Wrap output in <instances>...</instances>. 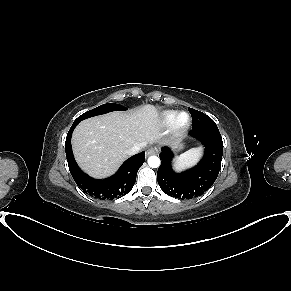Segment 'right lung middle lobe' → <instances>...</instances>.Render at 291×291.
<instances>
[{
	"instance_id": "dd1d6c3e",
	"label": "right lung middle lobe",
	"mask_w": 291,
	"mask_h": 291,
	"mask_svg": "<svg viewBox=\"0 0 291 291\" xmlns=\"http://www.w3.org/2000/svg\"><path fill=\"white\" fill-rule=\"evenodd\" d=\"M127 110L126 107L119 105V104H115V103H108V104H103L95 109H92L90 111L85 112L84 114H82L81 116H79L74 123L78 124L80 121L93 117V116H97V115H101V114H105L111 111H125Z\"/></svg>"
}]
</instances>
